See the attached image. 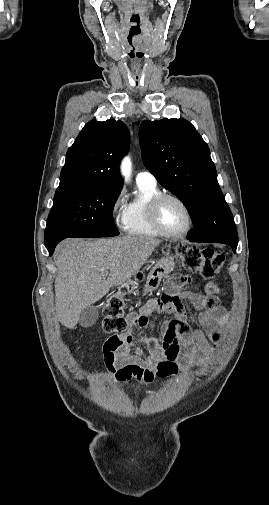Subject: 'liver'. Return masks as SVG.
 Returning <instances> with one entry per match:
<instances>
[{"instance_id":"obj_1","label":"liver","mask_w":269,"mask_h":505,"mask_svg":"<svg viewBox=\"0 0 269 505\" xmlns=\"http://www.w3.org/2000/svg\"><path fill=\"white\" fill-rule=\"evenodd\" d=\"M159 244L155 238L131 236L96 241L69 238L59 243L54 253L55 307L61 324L74 328L85 307L103 298L111 287L130 281Z\"/></svg>"}]
</instances>
